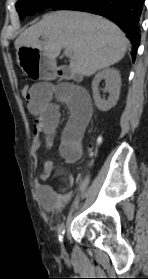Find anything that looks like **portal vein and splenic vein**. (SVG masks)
Returning a JSON list of instances; mask_svg holds the SVG:
<instances>
[{
  "label": "portal vein and splenic vein",
  "instance_id": "18ae733b",
  "mask_svg": "<svg viewBox=\"0 0 148 279\" xmlns=\"http://www.w3.org/2000/svg\"><path fill=\"white\" fill-rule=\"evenodd\" d=\"M64 54L66 57L72 58L73 57V51L72 49H65Z\"/></svg>",
  "mask_w": 148,
  "mask_h": 279
}]
</instances>
